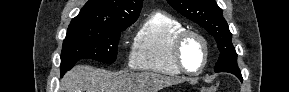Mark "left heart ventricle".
Listing matches in <instances>:
<instances>
[{"label":"left heart ventricle","mask_w":289,"mask_h":92,"mask_svg":"<svg viewBox=\"0 0 289 92\" xmlns=\"http://www.w3.org/2000/svg\"><path fill=\"white\" fill-rule=\"evenodd\" d=\"M182 60L187 69L197 70L203 61V48L199 40L189 38L182 48Z\"/></svg>","instance_id":"obj_1"}]
</instances>
